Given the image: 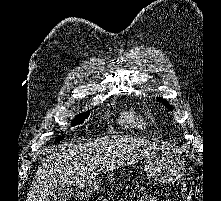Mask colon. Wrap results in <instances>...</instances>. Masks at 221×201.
<instances>
[{
  "label": "colon",
  "mask_w": 221,
  "mask_h": 201,
  "mask_svg": "<svg viewBox=\"0 0 221 201\" xmlns=\"http://www.w3.org/2000/svg\"><path fill=\"white\" fill-rule=\"evenodd\" d=\"M180 197L182 201H196L193 187L188 182H183L180 187Z\"/></svg>",
  "instance_id": "5ec220e1"
}]
</instances>
